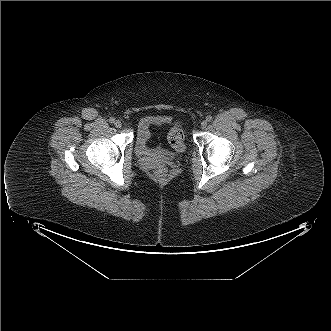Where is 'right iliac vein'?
Wrapping results in <instances>:
<instances>
[{
  "instance_id": "obj_1",
  "label": "right iliac vein",
  "mask_w": 331,
  "mask_h": 331,
  "mask_svg": "<svg viewBox=\"0 0 331 331\" xmlns=\"http://www.w3.org/2000/svg\"><path fill=\"white\" fill-rule=\"evenodd\" d=\"M114 125H115L116 128H121L122 127V122L120 120H116L114 122Z\"/></svg>"
}]
</instances>
